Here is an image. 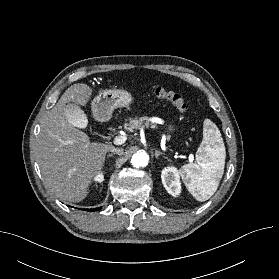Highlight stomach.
Listing matches in <instances>:
<instances>
[{
    "instance_id": "obj_1",
    "label": "stomach",
    "mask_w": 279,
    "mask_h": 279,
    "mask_svg": "<svg viewBox=\"0 0 279 279\" xmlns=\"http://www.w3.org/2000/svg\"><path fill=\"white\" fill-rule=\"evenodd\" d=\"M134 98L130 92L124 89H106L97 95L92 101V112L96 120L108 121L117 108L127 107ZM174 125H168L167 131L173 132Z\"/></svg>"
}]
</instances>
